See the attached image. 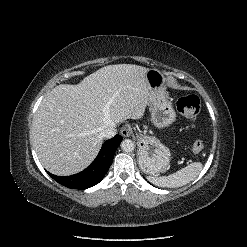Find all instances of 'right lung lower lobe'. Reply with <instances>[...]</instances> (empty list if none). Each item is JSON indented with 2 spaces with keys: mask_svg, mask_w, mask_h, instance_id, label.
<instances>
[{
  "mask_svg": "<svg viewBox=\"0 0 247 247\" xmlns=\"http://www.w3.org/2000/svg\"><path fill=\"white\" fill-rule=\"evenodd\" d=\"M122 141L120 135L107 140L95 160L82 172L71 176L49 175L59 184L71 189H86L98 184L110 168L115 151Z\"/></svg>",
  "mask_w": 247,
  "mask_h": 247,
  "instance_id": "obj_1",
  "label": "right lung lower lobe"
}]
</instances>
